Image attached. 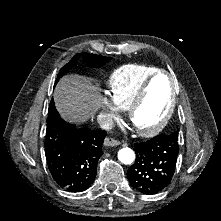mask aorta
Returning a JSON list of instances; mask_svg holds the SVG:
<instances>
[{"mask_svg": "<svg viewBox=\"0 0 221 221\" xmlns=\"http://www.w3.org/2000/svg\"><path fill=\"white\" fill-rule=\"evenodd\" d=\"M118 159L123 164H131L135 159V153L132 149L128 147L122 148L118 152Z\"/></svg>", "mask_w": 221, "mask_h": 221, "instance_id": "1", "label": "aorta"}]
</instances>
